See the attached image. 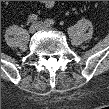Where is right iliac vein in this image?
I'll list each match as a JSON object with an SVG mask.
<instances>
[{
	"mask_svg": "<svg viewBox=\"0 0 109 109\" xmlns=\"http://www.w3.org/2000/svg\"><path fill=\"white\" fill-rule=\"evenodd\" d=\"M38 29H39L38 26H37L36 24H33V25H31V26L29 27V32H30L31 34H33V33H35Z\"/></svg>",
	"mask_w": 109,
	"mask_h": 109,
	"instance_id": "right-iliac-vein-1",
	"label": "right iliac vein"
}]
</instances>
